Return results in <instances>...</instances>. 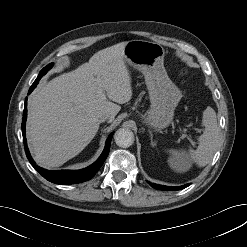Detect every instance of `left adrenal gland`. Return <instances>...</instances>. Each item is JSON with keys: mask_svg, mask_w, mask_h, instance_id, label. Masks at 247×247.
<instances>
[{"mask_svg": "<svg viewBox=\"0 0 247 247\" xmlns=\"http://www.w3.org/2000/svg\"><path fill=\"white\" fill-rule=\"evenodd\" d=\"M149 133H150L151 145H152V146H155V145H156V143H155V141L153 140V134H152V132H151V131H149Z\"/></svg>", "mask_w": 247, "mask_h": 247, "instance_id": "obj_1", "label": "left adrenal gland"}]
</instances>
